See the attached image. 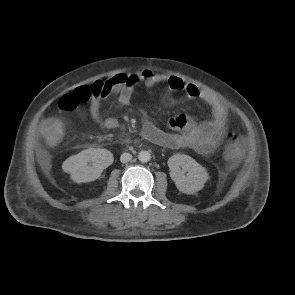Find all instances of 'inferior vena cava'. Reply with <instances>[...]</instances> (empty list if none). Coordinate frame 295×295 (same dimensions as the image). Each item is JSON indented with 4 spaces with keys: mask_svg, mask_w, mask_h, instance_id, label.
<instances>
[{
    "mask_svg": "<svg viewBox=\"0 0 295 295\" xmlns=\"http://www.w3.org/2000/svg\"><path fill=\"white\" fill-rule=\"evenodd\" d=\"M132 159V155L130 153H123L120 157V161L122 163H127Z\"/></svg>",
    "mask_w": 295,
    "mask_h": 295,
    "instance_id": "602c4592",
    "label": "inferior vena cava"
}]
</instances>
